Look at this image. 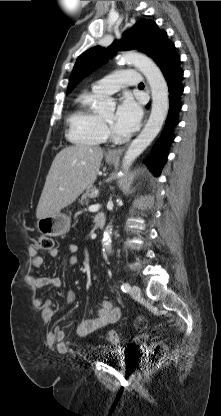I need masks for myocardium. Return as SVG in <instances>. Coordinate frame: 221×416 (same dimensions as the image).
<instances>
[{"label": "myocardium", "instance_id": "1", "mask_svg": "<svg viewBox=\"0 0 221 416\" xmlns=\"http://www.w3.org/2000/svg\"><path fill=\"white\" fill-rule=\"evenodd\" d=\"M101 120H102V123L104 125V129H105L106 133L108 134V136L112 140H120L121 137L114 133L111 124L108 123L107 121H105L104 119H101Z\"/></svg>", "mask_w": 221, "mask_h": 416}]
</instances>
